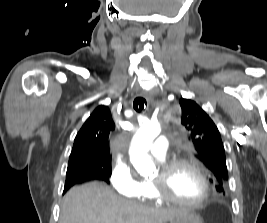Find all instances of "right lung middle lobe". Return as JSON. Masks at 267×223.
<instances>
[{
	"mask_svg": "<svg viewBox=\"0 0 267 223\" xmlns=\"http://www.w3.org/2000/svg\"><path fill=\"white\" fill-rule=\"evenodd\" d=\"M93 167L94 165L92 163H88L86 161L74 162L72 164H68L66 175H69L76 171H82V170L90 171ZM108 167H109V172L107 174H103L106 182L108 181V178L111 176V164H109Z\"/></svg>",
	"mask_w": 267,
	"mask_h": 223,
	"instance_id": "1",
	"label": "right lung middle lobe"
}]
</instances>
